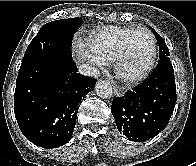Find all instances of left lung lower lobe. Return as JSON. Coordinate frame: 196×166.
<instances>
[{"label":"left lung lower lobe","mask_w":196,"mask_h":166,"mask_svg":"<svg viewBox=\"0 0 196 166\" xmlns=\"http://www.w3.org/2000/svg\"><path fill=\"white\" fill-rule=\"evenodd\" d=\"M176 99L174 69L169 56H165L141 85L113 99L111 112L121 134L143 142L167 126Z\"/></svg>","instance_id":"0a47b994"}]
</instances>
